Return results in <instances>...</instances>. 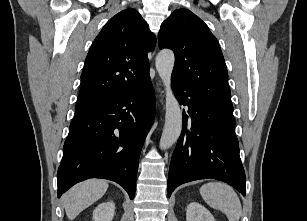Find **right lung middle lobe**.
<instances>
[{"label":"right lung middle lobe","instance_id":"1","mask_svg":"<svg viewBox=\"0 0 307 221\" xmlns=\"http://www.w3.org/2000/svg\"><path fill=\"white\" fill-rule=\"evenodd\" d=\"M92 108L93 107H77L76 111H75V116H79V115L89 111Z\"/></svg>","mask_w":307,"mask_h":221}]
</instances>
